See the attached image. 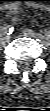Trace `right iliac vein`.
I'll list each match as a JSON object with an SVG mask.
<instances>
[{"mask_svg":"<svg viewBox=\"0 0 50 111\" xmlns=\"http://www.w3.org/2000/svg\"><path fill=\"white\" fill-rule=\"evenodd\" d=\"M8 40H10V36H9V35H7V36H5V37L3 38V41H8Z\"/></svg>","mask_w":50,"mask_h":111,"instance_id":"1","label":"right iliac vein"}]
</instances>
